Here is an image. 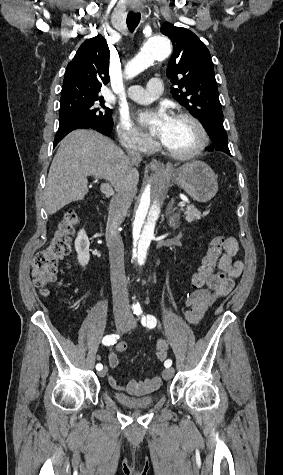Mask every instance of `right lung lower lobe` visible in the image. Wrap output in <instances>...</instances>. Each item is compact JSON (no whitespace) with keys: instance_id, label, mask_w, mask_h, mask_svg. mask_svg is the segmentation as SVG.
Listing matches in <instances>:
<instances>
[{"instance_id":"98d812e1","label":"right lung lower lobe","mask_w":283,"mask_h":475,"mask_svg":"<svg viewBox=\"0 0 283 475\" xmlns=\"http://www.w3.org/2000/svg\"><path fill=\"white\" fill-rule=\"evenodd\" d=\"M75 129H93L104 135H109L112 131V126L94 123L84 117L74 116L60 120L59 129L57 131L54 147L61 141L68 133Z\"/></svg>"}]
</instances>
